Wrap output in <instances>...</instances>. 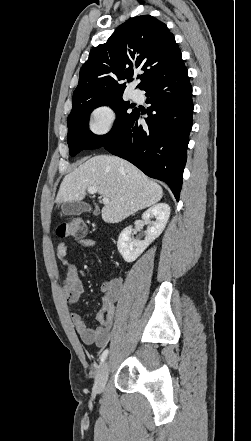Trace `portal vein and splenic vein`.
I'll list each match as a JSON object with an SVG mask.
<instances>
[{
	"instance_id": "1",
	"label": "portal vein and splenic vein",
	"mask_w": 251,
	"mask_h": 441,
	"mask_svg": "<svg viewBox=\"0 0 251 441\" xmlns=\"http://www.w3.org/2000/svg\"><path fill=\"white\" fill-rule=\"evenodd\" d=\"M96 192H97V188H96V187H90V188H88V193H89V194H95ZM103 203H104V204H109V198L104 197V198H103Z\"/></svg>"
}]
</instances>
